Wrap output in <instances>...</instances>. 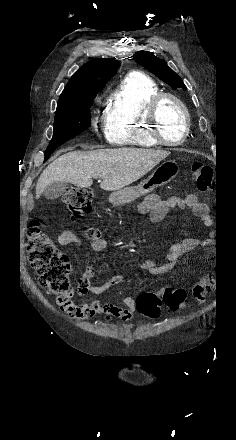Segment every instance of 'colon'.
<instances>
[{"mask_svg": "<svg viewBox=\"0 0 236 440\" xmlns=\"http://www.w3.org/2000/svg\"><path fill=\"white\" fill-rule=\"evenodd\" d=\"M197 187L200 191H209L213 187V170L202 162H195L192 166ZM92 192L87 188L69 187L63 195V202L77 219L87 215L91 209ZM87 236L99 238L100 232L90 228ZM28 261L35 270L41 286L47 288L57 297L62 307L72 298L69 276L72 266L68 257L52 239L33 220L28 228ZM222 276H201L200 283L192 288L195 302L203 303L209 291L208 285H222ZM187 293L183 288H165L161 295L145 292L136 298V308L143 316L157 319L164 306L170 312H177L185 308Z\"/></svg>", "mask_w": 236, "mask_h": 440, "instance_id": "obj_1", "label": "colon"}]
</instances>
